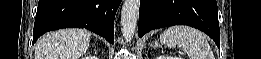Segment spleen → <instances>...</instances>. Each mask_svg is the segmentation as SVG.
Segmentation results:
<instances>
[{"label": "spleen", "mask_w": 261, "mask_h": 59, "mask_svg": "<svg viewBox=\"0 0 261 59\" xmlns=\"http://www.w3.org/2000/svg\"><path fill=\"white\" fill-rule=\"evenodd\" d=\"M160 42L170 48L180 45L189 59H214L206 37L189 26H172L160 35Z\"/></svg>", "instance_id": "spleen-1"}]
</instances>
